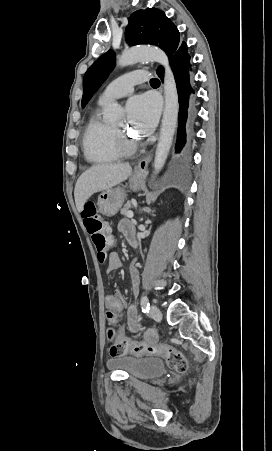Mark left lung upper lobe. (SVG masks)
I'll use <instances>...</instances> for the list:
<instances>
[{"mask_svg": "<svg viewBox=\"0 0 272 451\" xmlns=\"http://www.w3.org/2000/svg\"><path fill=\"white\" fill-rule=\"evenodd\" d=\"M128 21L125 35L130 46L138 44L158 46L165 51L170 61L181 43L180 33L163 11L156 8L138 10L130 15ZM114 66L115 54L109 50L87 70L83 78L82 108L86 106ZM160 68L162 67L158 69Z\"/></svg>", "mask_w": 272, "mask_h": 451, "instance_id": "5c2ea615", "label": "left lung upper lobe"}]
</instances>
